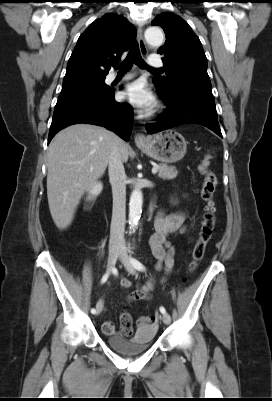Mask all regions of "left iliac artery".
Masks as SVG:
<instances>
[{
    "instance_id": "1",
    "label": "left iliac artery",
    "mask_w": 272,
    "mask_h": 401,
    "mask_svg": "<svg viewBox=\"0 0 272 401\" xmlns=\"http://www.w3.org/2000/svg\"><path fill=\"white\" fill-rule=\"evenodd\" d=\"M131 263H132V265L134 266L135 269H137L139 271H144L145 270L144 265L141 262H139L138 260L132 258L131 259ZM160 312L162 314H165L166 313V309L163 306H161L160 307Z\"/></svg>"
}]
</instances>
